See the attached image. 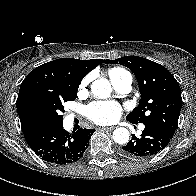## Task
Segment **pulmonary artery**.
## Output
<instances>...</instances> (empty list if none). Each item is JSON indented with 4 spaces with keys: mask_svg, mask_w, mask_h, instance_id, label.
<instances>
[{
    "mask_svg": "<svg viewBox=\"0 0 196 196\" xmlns=\"http://www.w3.org/2000/svg\"><path fill=\"white\" fill-rule=\"evenodd\" d=\"M113 85H114L115 89L119 93H127V92H129L131 90L132 77L128 73L127 75H125L121 79L113 82ZM140 129L143 130L144 129V126H141Z\"/></svg>",
    "mask_w": 196,
    "mask_h": 196,
    "instance_id": "1",
    "label": "pulmonary artery"
}]
</instances>
